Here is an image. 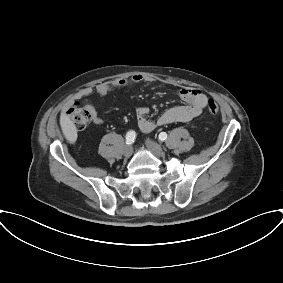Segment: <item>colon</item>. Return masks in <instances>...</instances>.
Returning <instances> with one entry per match:
<instances>
[{"mask_svg": "<svg viewBox=\"0 0 283 283\" xmlns=\"http://www.w3.org/2000/svg\"><path fill=\"white\" fill-rule=\"evenodd\" d=\"M207 109L211 115L219 112L217 103L212 99L208 100ZM65 117L76 129L83 130L91 122L92 113L87 105L74 104L66 110Z\"/></svg>", "mask_w": 283, "mask_h": 283, "instance_id": "1", "label": "colon"}]
</instances>
